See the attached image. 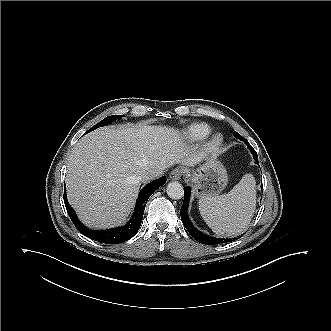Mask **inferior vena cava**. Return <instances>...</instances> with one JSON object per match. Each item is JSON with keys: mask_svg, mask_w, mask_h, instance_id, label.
Wrapping results in <instances>:
<instances>
[{"mask_svg": "<svg viewBox=\"0 0 331 331\" xmlns=\"http://www.w3.org/2000/svg\"><path fill=\"white\" fill-rule=\"evenodd\" d=\"M161 174H162V171H149V172H146L141 176V181L142 182H148L150 180H154V179L158 178Z\"/></svg>", "mask_w": 331, "mask_h": 331, "instance_id": "inferior-vena-cava-1", "label": "inferior vena cava"}]
</instances>
